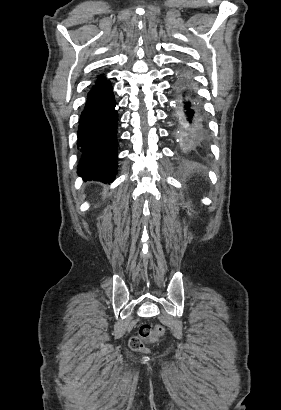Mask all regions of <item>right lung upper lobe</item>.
Masks as SVG:
<instances>
[{
  "label": "right lung upper lobe",
  "instance_id": "right-lung-upper-lobe-1",
  "mask_svg": "<svg viewBox=\"0 0 281 410\" xmlns=\"http://www.w3.org/2000/svg\"><path fill=\"white\" fill-rule=\"evenodd\" d=\"M103 82H105V78H104L103 76H101V77L97 80L96 85H99V84H101V83H103ZM96 85H95V86H96Z\"/></svg>",
  "mask_w": 281,
  "mask_h": 410
}]
</instances>
